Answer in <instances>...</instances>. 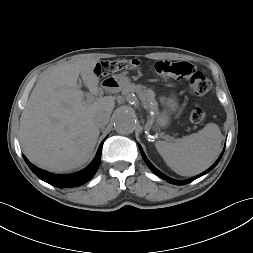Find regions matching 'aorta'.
<instances>
[{
  "mask_svg": "<svg viewBox=\"0 0 253 253\" xmlns=\"http://www.w3.org/2000/svg\"><path fill=\"white\" fill-rule=\"evenodd\" d=\"M136 125L134 113L127 109L119 110L115 115L114 128L120 134H130Z\"/></svg>",
  "mask_w": 253,
  "mask_h": 253,
  "instance_id": "1",
  "label": "aorta"
}]
</instances>
